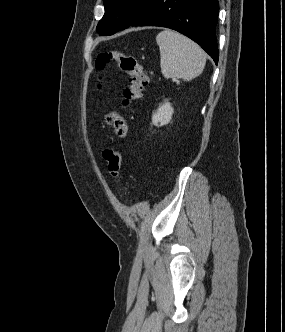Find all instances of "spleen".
I'll return each mask as SVG.
<instances>
[{"mask_svg": "<svg viewBox=\"0 0 285 332\" xmlns=\"http://www.w3.org/2000/svg\"><path fill=\"white\" fill-rule=\"evenodd\" d=\"M156 42L160 50L161 72L166 79L191 81L202 73L206 54L197 43L170 29L158 33Z\"/></svg>", "mask_w": 285, "mask_h": 332, "instance_id": "3e777b00", "label": "spleen"}]
</instances>
